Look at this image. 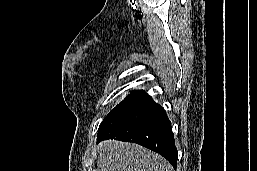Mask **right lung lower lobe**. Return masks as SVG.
<instances>
[{
  "label": "right lung lower lobe",
  "mask_w": 257,
  "mask_h": 171,
  "mask_svg": "<svg viewBox=\"0 0 257 171\" xmlns=\"http://www.w3.org/2000/svg\"><path fill=\"white\" fill-rule=\"evenodd\" d=\"M116 139L134 142L166 158L176 169L178 151L171 122L164 108L143 93L98 129L97 141Z\"/></svg>",
  "instance_id": "1"
}]
</instances>
